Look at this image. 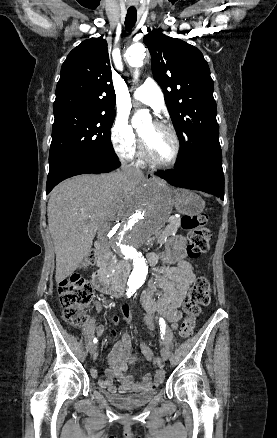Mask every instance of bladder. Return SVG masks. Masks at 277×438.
<instances>
[{"mask_svg":"<svg viewBox=\"0 0 277 438\" xmlns=\"http://www.w3.org/2000/svg\"><path fill=\"white\" fill-rule=\"evenodd\" d=\"M158 387L159 385H155L152 388H147L140 393L128 395L113 392H106V395L110 404L123 409H137L141 406L149 404L153 400V398L159 392Z\"/></svg>","mask_w":277,"mask_h":438,"instance_id":"bladder-1","label":"bladder"}]
</instances>
